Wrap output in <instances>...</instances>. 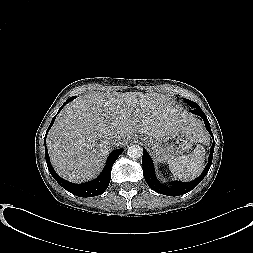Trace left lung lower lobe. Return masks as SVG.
Segmentation results:
<instances>
[{
	"label": "left lung lower lobe",
	"mask_w": 253,
	"mask_h": 253,
	"mask_svg": "<svg viewBox=\"0 0 253 253\" xmlns=\"http://www.w3.org/2000/svg\"><path fill=\"white\" fill-rule=\"evenodd\" d=\"M190 106L193 107V110H191V112L196 115H199L204 120L206 129L209 131L210 135L213 137V134H212L211 128H210V123H209L206 115L204 114V112L199 107V105L196 103H193V104H190ZM213 140H214V138H213ZM214 145H215V142L213 141L208 163H207L204 171L202 172V174L196 180L191 181V182H180V181L171 182L170 187H168V186L160 183V181H158V179L155 176L153 161H152L151 157L149 156V154L147 153V151L143 148L142 166H143V175H144V178H145L147 184L154 191H156L160 194L168 195V196H179V195H182V194H185V193L191 191L203 180V178L208 173L211 163H212Z\"/></svg>",
	"instance_id": "left-lung-lower-lobe-1"
}]
</instances>
